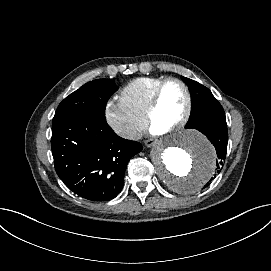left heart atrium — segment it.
<instances>
[{"label": "left heart atrium", "mask_w": 271, "mask_h": 271, "mask_svg": "<svg viewBox=\"0 0 271 271\" xmlns=\"http://www.w3.org/2000/svg\"><path fill=\"white\" fill-rule=\"evenodd\" d=\"M164 132H165L164 130L158 128L155 125L151 126V133L154 134V135H160V134H163Z\"/></svg>", "instance_id": "obj_1"}]
</instances>
